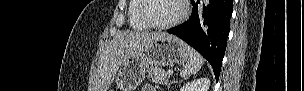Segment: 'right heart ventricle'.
Returning a JSON list of instances; mask_svg holds the SVG:
<instances>
[{
  "label": "right heart ventricle",
  "mask_w": 304,
  "mask_h": 91,
  "mask_svg": "<svg viewBox=\"0 0 304 91\" xmlns=\"http://www.w3.org/2000/svg\"><path fill=\"white\" fill-rule=\"evenodd\" d=\"M140 7V0H131L128 6V21L130 27L134 30H145L148 28L140 18Z\"/></svg>",
  "instance_id": "right-heart-ventricle-1"
}]
</instances>
